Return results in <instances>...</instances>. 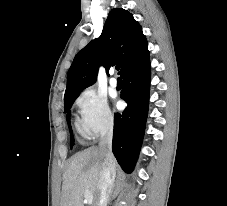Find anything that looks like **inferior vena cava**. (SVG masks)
Masks as SVG:
<instances>
[{
	"label": "inferior vena cava",
	"instance_id": "obj_1",
	"mask_svg": "<svg viewBox=\"0 0 227 206\" xmlns=\"http://www.w3.org/2000/svg\"><path fill=\"white\" fill-rule=\"evenodd\" d=\"M113 123H110L99 142V149L103 155V163L99 179V200L96 206H107L109 194L116 175V161L112 153Z\"/></svg>",
	"mask_w": 227,
	"mask_h": 206
}]
</instances>
